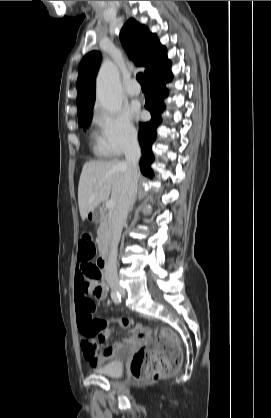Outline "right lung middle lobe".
<instances>
[{"label": "right lung middle lobe", "mask_w": 271, "mask_h": 418, "mask_svg": "<svg viewBox=\"0 0 271 418\" xmlns=\"http://www.w3.org/2000/svg\"><path fill=\"white\" fill-rule=\"evenodd\" d=\"M78 119H79V125L87 128L91 123L92 111L86 114H83L81 116H78Z\"/></svg>", "instance_id": "1"}]
</instances>
